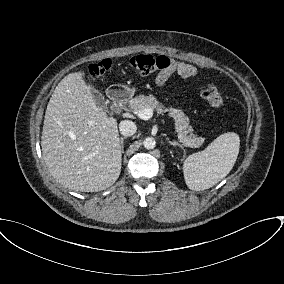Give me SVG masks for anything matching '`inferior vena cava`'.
<instances>
[{
  "instance_id": "602c4592",
  "label": "inferior vena cava",
  "mask_w": 284,
  "mask_h": 284,
  "mask_svg": "<svg viewBox=\"0 0 284 284\" xmlns=\"http://www.w3.org/2000/svg\"><path fill=\"white\" fill-rule=\"evenodd\" d=\"M119 130L122 135L129 137L136 132L137 126L134 122L130 120H123L119 124Z\"/></svg>"
}]
</instances>
